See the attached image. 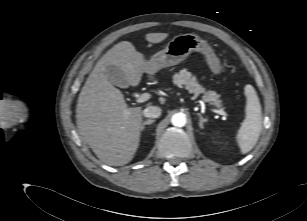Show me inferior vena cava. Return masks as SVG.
Listing matches in <instances>:
<instances>
[{"mask_svg": "<svg viewBox=\"0 0 307 221\" xmlns=\"http://www.w3.org/2000/svg\"><path fill=\"white\" fill-rule=\"evenodd\" d=\"M161 108L157 106H148L143 110V115L147 118H158L161 115Z\"/></svg>", "mask_w": 307, "mask_h": 221, "instance_id": "obj_1", "label": "inferior vena cava"}]
</instances>
